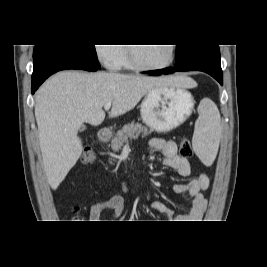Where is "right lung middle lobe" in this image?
Segmentation results:
<instances>
[{
	"label": "right lung middle lobe",
	"mask_w": 267,
	"mask_h": 267,
	"mask_svg": "<svg viewBox=\"0 0 267 267\" xmlns=\"http://www.w3.org/2000/svg\"><path fill=\"white\" fill-rule=\"evenodd\" d=\"M63 48L68 49L79 56L87 59L89 62L93 63L96 66H100L94 45L86 44H65L61 45Z\"/></svg>",
	"instance_id": "dd1d6c3e"
}]
</instances>
